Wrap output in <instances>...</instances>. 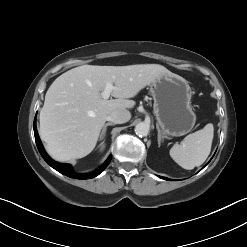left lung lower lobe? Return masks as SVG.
Wrapping results in <instances>:
<instances>
[{
    "mask_svg": "<svg viewBox=\"0 0 247 247\" xmlns=\"http://www.w3.org/2000/svg\"><path fill=\"white\" fill-rule=\"evenodd\" d=\"M162 179H165V180H170V179H168V178H165V177H161Z\"/></svg>",
    "mask_w": 247,
    "mask_h": 247,
    "instance_id": "obj_1",
    "label": "left lung lower lobe"
}]
</instances>
